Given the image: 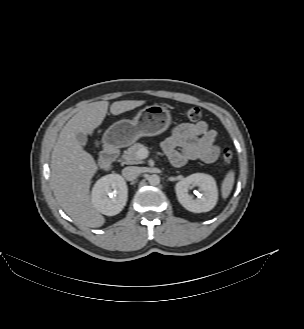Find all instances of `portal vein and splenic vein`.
<instances>
[{
	"label": "portal vein and splenic vein",
	"mask_w": 304,
	"mask_h": 329,
	"mask_svg": "<svg viewBox=\"0 0 304 329\" xmlns=\"http://www.w3.org/2000/svg\"><path fill=\"white\" fill-rule=\"evenodd\" d=\"M149 151L146 148H141L138 152H137V157L139 159H146L148 157Z\"/></svg>",
	"instance_id": "18ae733b"
}]
</instances>
